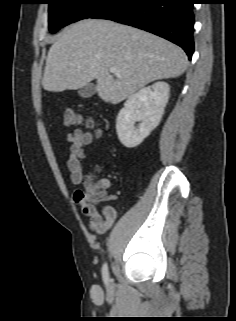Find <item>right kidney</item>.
Masks as SVG:
<instances>
[{
	"mask_svg": "<svg viewBox=\"0 0 236 321\" xmlns=\"http://www.w3.org/2000/svg\"><path fill=\"white\" fill-rule=\"evenodd\" d=\"M169 92L168 83L156 82L127 99L116 119L117 136L125 147L138 146L159 125Z\"/></svg>",
	"mask_w": 236,
	"mask_h": 321,
	"instance_id": "1",
	"label": "right kidney"
}]
</instances>
